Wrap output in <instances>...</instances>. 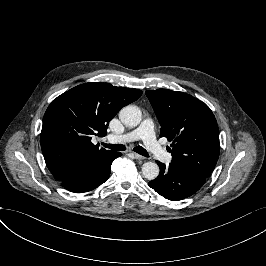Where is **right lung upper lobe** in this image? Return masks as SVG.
<instances>
[{"label":"right lung upper lobe","instance_id":"right-lung-upper-lobe-1","mask_svg":"<svg viewBox=\"0 0 266 266\" xmlns=\"http://www.w3.org/2000/svg\"><path fill=\"white\" fill-rule=\"evenodd\" d=\"M142 91L109 83H85L58 96L47 108L41 131V148L47 167L61 181L77 162L108 151L91 142L105 136L109 121Z\"/></svg>","mask_w":266,"mask_h":266}]
</instances>
